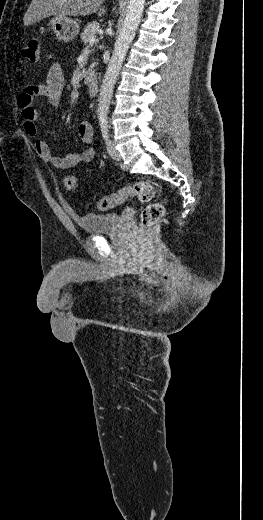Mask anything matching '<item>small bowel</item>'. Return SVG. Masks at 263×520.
<instances>
[{"instance_id":"1","label":"small bowel","mask_w":263,"mask_h":520,"mask_svg":"<svg viewBox=\"0 0 263 520\" xmlns=\"http://www.w3.org/2000/svg\"><path fill=\"white\" fill-rule=\"evenodd\" d=\"M64 88V74L60 64L55 63L51 66L45 80L38 84L27 86L18 96V106L21 109L23 118V128L27 135L35 137L34 145L38 156L55 168L68 169L80 163H87L93 160L95 151L87 148L79 153H71L60 157L53 155L48 144L37 137L38 112L34 107V99L37 96L46 97L51 102L56 103L60 100ZM78 134L81 141L90 144L93 141V127L90 121H82L78 126Z\"/></svg>"}]
</instances>
